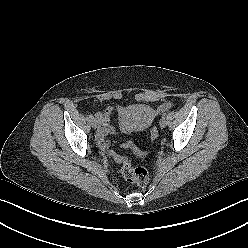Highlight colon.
Segmentation results:
<instances>
[{"instance_id":"5ec220e1","label":"colon","mask_w":248,"mask_h":248,"mask_svg":"<svg viewBox=\"0 0 248 248\" xmlns=\"http://www.w3.org/2000/svg\"><path fill=\"white\" fill-rule=\"evenodd\" d=\"M150 135L153 140L157 138L158 131L155 127L151 129ZM122 147L131 149L138 156L145 155L131 141L124 142ZM111 155L117 162L121 163V175L127 182L138 187H143L148 183L149 175L145 168L133 166L129 158L120 156L115 152H111Z\"/></svg>"}]
</instances>
